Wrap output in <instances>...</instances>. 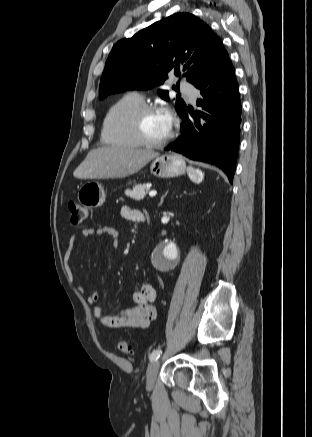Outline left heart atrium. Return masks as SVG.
<instances>
[{"label":"left heart atrium","mask_w":312,"mask_h":437,"mask_svg":"<svg viewBox=\"0 0 312 437\" xmlns=\"http://www.w3.org/2000/svg\"><path fill=\"white\" fill-rule=\"evenodd\" d=\"M162 115H163V117H164V119H165V122H166L167 128H168V130L170 131V130H171V127H172V122H173L172 115H171L168 111L163 112Z\"/></svg>","instance_id":"1"}]
</instances>
